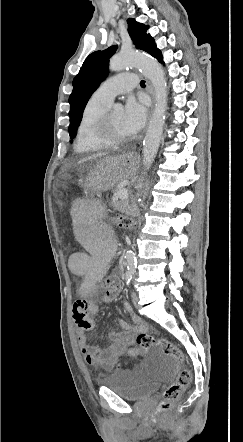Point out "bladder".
Masks as SVG:
<instances>
[{
    "label": "bladder",
    "mask_w": 243,
    "mask_h": 442,
    "mask_svg": "<svg viewBox=\"0 0 243 442\" xmlns=\"http://www.w3.org/2000/svg\"><path fill=\"white\" fill-rule=\"evenodd\" d=\"M175 370L176 363L169 355L153 353L137 366L112 371L98 382L123 399L137 401L154 394L164 382L174 377Z\"/></svg>",
    "instance_id": "obj_1"
}]
</instances>
